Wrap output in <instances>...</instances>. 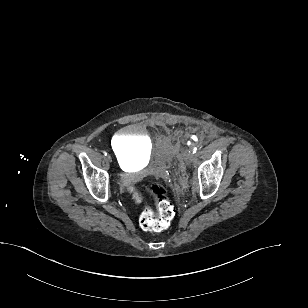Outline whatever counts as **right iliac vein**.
Wrapping results in <instances>:
<instances>
[{
	"instance_id": "63e3f726",
	"label": "right iliac vein",
	"mask_w": 308,
	"mask_h": 308,
	"mask_svg": "<svg viewBox=\"0 0 308 308\" xmlns=\"http://www.w3.org/2000/svg\"><path fill=\"white\" fill-rule=\"evenodd\" d=\"M107 160L110 161V162L112 161V158H111L110 155L107 156Z\"/></svg>"
}]
</instances>
